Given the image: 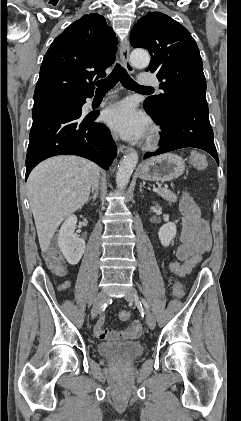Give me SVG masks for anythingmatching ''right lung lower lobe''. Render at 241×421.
<instances>
[{"label": "right lung lower lobe", "mask_w": 241, "mask_h": 421, "mask_svg": "<svg viewBox=\"0 0 241 421\" xmlns=\"http://www.w3.org/2000/svg\"><path fill=\"white\" fill-rule=\"evenodd\" d=\"M85 96H68L32 111L33 124L26 156V177L41 161L56 155H78L108 169L117 154L109 129L95 123L98 113L84 115Z\"/></svg>", "instance_id": "98d812e1"}]
</instances>
